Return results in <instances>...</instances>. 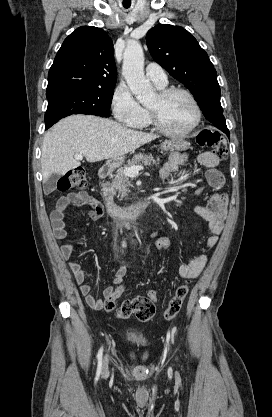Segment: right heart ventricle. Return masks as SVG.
I'll list each match as a JSON object with an SVG mask.
<instances>
[{
	"label": "right heart ventricle",
	"mask_w": 272,
	"mask_h": 417,
	"mask_svg": "<svg viewBox=\"0 0 272 417\" xmlns=\"http://www.w3.org/2000/svg\"><path fill=\"white\" fill-rule=\"evenodd\" d=\"M158 88L162 89L164 87H158ZM149 126H150V121H149L148 111L144 109L143 118L136 125H134L133 127L138 128V129H143V128H147Z\"/></svg>",
	"instance_id": "obj_1"
}]
</instances>
